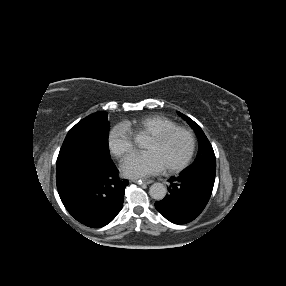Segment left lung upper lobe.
I'll list each match as a JSON object with an SVG mask.
<instances>
[{"label":"left lung upper lobe","mask_w":286,"mask_h":286,"mask_svg":"<svg viewBox=\"0 0 286 286\" xmlns=\"http://www.w3.org/2000/svg\"><path fill=\"white\" fill-rule=\"evenodd\" d=\"M178 114L188 122V124L194 129L197 134L199 140V151L198 155L193 164L188 166L186 169H192L198 166L206 165V164H216V158L213 151V148L205 136L204 132L200 128V126L195 123L192 119L187 117L186 115L178 112Z\"/></svg>","instance_id":"5c2ea615"}]
</instances>
